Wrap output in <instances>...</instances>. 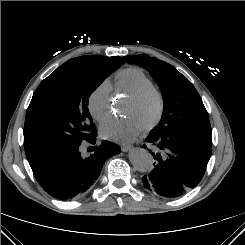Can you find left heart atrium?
Masks as SVG:
<instances>
[{"mask_svg": "<svg viewBox=\"0 0 245 245\" xmlns=\"http://www.w3.org/2000/svg\"><path fill=\"white\" fill-rule=\"evenodd\" d=\"M142 130L135 126L130 120H108L100 127V133L105 138L131 141L135 139Z\"/></svg>", "mask_w": 245, "mask_h": 245, "instance_id": "obj_1", "label": "left heart atrium"}]
</instances>
